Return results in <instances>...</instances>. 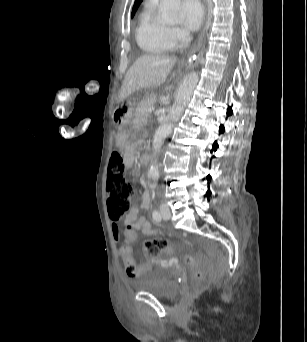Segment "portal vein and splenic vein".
I'll return each instance as SVG.
<instances>
[{
	"label": "portal vein and splenic vein",
	"instance_id": "18ae733b",
	"mask_svg": "<svg viewBox=\"0 0 307 342\" xmlns=\"http://www.w3.org/2000/svg\"><path fill=\"white\" fill-rule=\"evenodd\" d=\"M153 110L155 111V108H149L148 112H153Z\"/></svg>",
	"mask_w": 307,
	"mask_h": 342
}]
</instances>
